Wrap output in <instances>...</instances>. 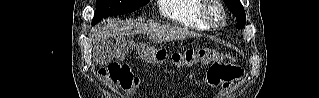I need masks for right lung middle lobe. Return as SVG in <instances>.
Masks as SVG:
<instances>
[{
  "label": "right lung middle lobe",
  "instance_id": "dd1d6c3e",
  "mask_svg": "<svg viewBox=\"0 0 319 98\" xmlns=\"http://www.w3.org/2000/svg\"><path fill=\"white\" fill-rule=\"evenodd\" d=\"M150 0H96L92 25L111 15H123L146 5Z\"/></svg>",
  "mask_w": 319,
  "mask_h": 98
}]
</instances>
